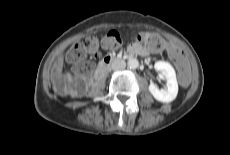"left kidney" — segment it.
<instances>
[{
    "mask_svg": "<svg viewBox=\"0 0 230 155\" xmlns=\"http://www.w3.org/2000/svg\"><path fill=\"white\" fill-rule=\"evenodd\" d=\"M154 67L159 72V77L166 80L167 89H159L154 83H151L149 85L150 93L160 102H172L178 94V83L174 68L165 61H157Z\"/></svg>",
    "mask_w": 230,
    "mask_h": 155,
    "instance_id": "obj_1",
    "label": "left kidney"
}]
</instances>
